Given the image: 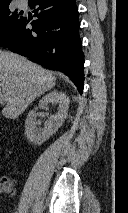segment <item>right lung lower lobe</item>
I'll return each instance as SVG.
<instances>
[{"mask_svg": "<svg viewBox=\"0 0 128 213\" xmlns=\"http://www.w3.org/2000/svg\"><path fill=\"white\" fill-rule=\"evenodd\" d=\"M38 20H24L0 43L14 53L39 62L49 69L65 73L77 86L84 88V53L78 35L76 0H31Z\"/></svg>", "mask_w": 128, "mask_h": 213, "instance_id": "right-lung-lower-lobe-1", "label": "right lung lower lobe"}]
</instances>
